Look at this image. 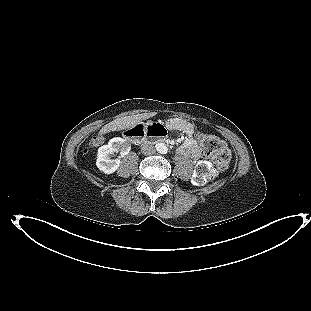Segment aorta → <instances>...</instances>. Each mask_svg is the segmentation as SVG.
I'll list each match as a JSON object with an SVG mask.
<instances>
[{
  "mask_svg": "<svg viewBox=\"0 0 311 311\" xmlns=\"http://www.w3.org/2000/svg\"><path fill=\"white\" fill-rule=\"evenodd\" d=\"M166 146L164 145V143H160L157 145V150L159 152H163L165 150Z\"/></svg>",
  "mask_w": 311,
  "mask_h": 311,
  "instance_id": "762f6f07",
  "label": "aorta"
}]
</instances>
